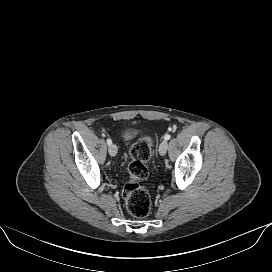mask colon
Returning <instances> with one entry per match:
<instances>
[{
  "instance_id": "5ec220e1",
  "label": "colon",
  "mask_w": 272,
  "mask_h": 272,
  "mask_svg": "<svg viewBox=\"0 0 272 272\" xmlns=\"http://www.w3.org/2000/svg\"><path fill=\"white\" fill-rule=\"evenodd\" d=\"M152 142L149 137L139 139L130 149L129 179L122 195L128 212L137 218L148 216L151 210L149 193L140 185L148 177L146 163L151 157Z\"/></svg>"
}]
</instances>
